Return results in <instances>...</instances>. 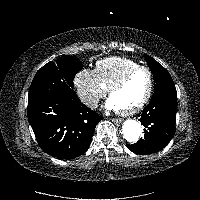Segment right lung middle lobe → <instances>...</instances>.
<instances>
[{
	"label": "right lung middle lobe",
	"mask_w": 200,
	"mask_h": 200,
	"mask_svg": "<svg viewBox=\"0 0 200 200\" xmlns=\"http://www.w3.org/2000/svg\"><path fill=\"white\" fill-rule=\"evenodd\" d=\"M83 68L76 57L63 55L55 63L44 65L34 76L28 98L40 95H58L68 97L72 91L73 79Z\"/></svg>",
	"instance_id": "right-lung-middle-lobe-1"
}]
</instances>
